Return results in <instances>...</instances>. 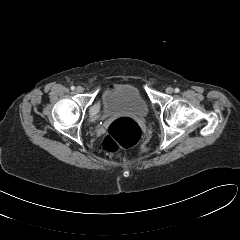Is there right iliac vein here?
<instances>
[{
	"mask_svg": "<svg viewBox=\"0 0 240 240\" xmlns=\"http://www.w3.org/2000/svg\"><path fill=\"white\" fill-rule=\"evenodd\" d=\"M83 91H84V88L81 87V86H78V87L76 88V92H77V93H82Z\"/></svg>",
	"mask_w": 240,
	"mask_h": 240,
	"instance_id": "63e3f726",
	"label": "right iliac vein"
}]
</instances>
